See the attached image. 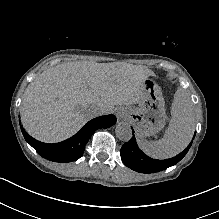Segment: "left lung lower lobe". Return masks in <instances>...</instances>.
Wrapping results in <instances>:
<instances>
[{"instance_id":"1","label":"left lung lower lobe","mask_w":219,"mask_h":219,"mask_svg":"<svg viewBox=\"0 0 219 219\" xmlns=\"http://www.w3.org/2000/svg\"><path fill=\"white\" fill-rule=\"evenodd\" d=\"M134 132V131H133ZM192 142L188 147L177 156L166 159L156 160L145 155L137 146L134 136L121 148V158L126 166L140 173H155L163 171L179 162L188 152Z\"/></svg>"}]
</instances>
